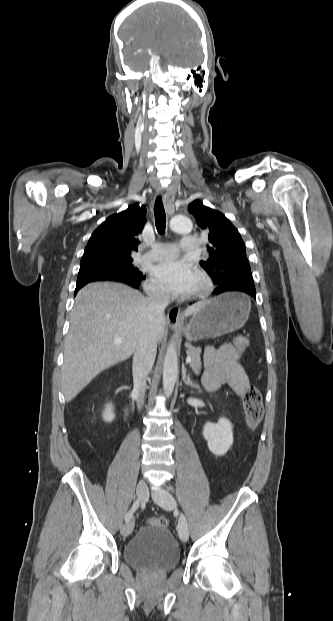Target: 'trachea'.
<instances>
[{"label": "trachea", "instance_id": "1", "mask_svg": "<svg viewBox=\"0 0 333 621\" xmlns=\"http://www.w3.org/2000/svg\"><path fill=\"white\" fill-rule=\"evenodd\" d=\"M154 216L157 231L160 234H164L166 229V214L163 207L162 198L160 196H158L155 200Z\"/></svg>", "mask_w": 333, "mask_h": 621}]
</instances>
